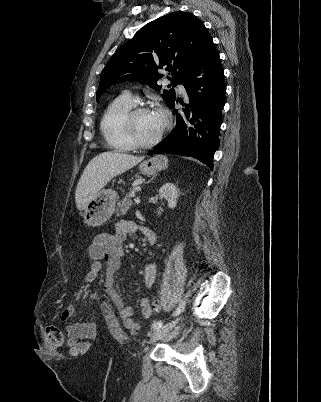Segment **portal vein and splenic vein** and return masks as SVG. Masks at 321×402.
<instances>
[{
    "label": "portal vein and splenic vein",
    "instance_id": "18ae733b",
    "mask_svg": "<svg viewBox=\"0 0 321 402\" xmlns=\"http://www.w3.org/2000/svg\"><path fill=\"white\" fill-rule=\"evenodd\" d=\"M134 201H135V203H137V204L140 203V199H139L138 197H135V198H134Z\"/></svg>",
    "mask_w": 321,
    "mask_h": 402
}]
</instances>
